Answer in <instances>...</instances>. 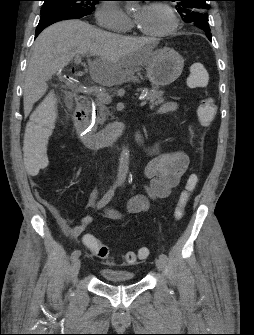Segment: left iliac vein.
<instances>
[{"mask_svg": "<svg viewBox=\"0 0 254 335\" xmlns=\"http://www.w3.org/2000/svg\"><path fill=\"white\" fill-rule=\"evenodd\" d=\"M155 263H156V266L160 270H162V271L165 270V268H166V261L165 260L158 258V259L155 260Z\"/></svg>", "mask_w": 254, "mask_h": 335, "instance_id": "4c4485c4", "label": "left iliac vein"}]
</instances>
